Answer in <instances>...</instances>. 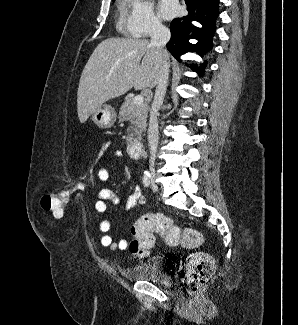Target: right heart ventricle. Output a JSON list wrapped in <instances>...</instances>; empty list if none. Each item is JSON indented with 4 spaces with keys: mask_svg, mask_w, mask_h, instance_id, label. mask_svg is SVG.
<instances>
[{
    "mask_svg": "<svg viewBox=\"0 0 298 325\" xmlns=\"http://www.w3.org/2000/svg\"><path fill=\"white\" fill-rule=\"evenodd\" d=\"M127 9V2L126 1H120L118 3V14H119V21L122 22L125 18Z\"/></svg>",
    "mask_w": 298,
    "mask_h": 325,
    "instance_id": "e07e8e85",
    "label": "right heart ventricle"
}]
</instances>
